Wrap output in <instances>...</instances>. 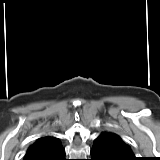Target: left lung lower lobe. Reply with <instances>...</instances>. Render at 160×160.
Masks as SVG:
<instances>
[{
  "label": "left lung lower lobe",
  "instance_id": "left-lung-lower-lobe-1",
  "mask_svg": "<svg viewBox=\"0 0 160 160\" xmlns=\"http://www.w3.org/2000/svg\"><path fill=\"white\" fill-rule=\"evenodd\" d=\"M91 160H137L130 156L111 135L101 133L91 149Z\"/></svg>",
  "mask_w": 160,
  "mask_h": 160
}]
</instances>
